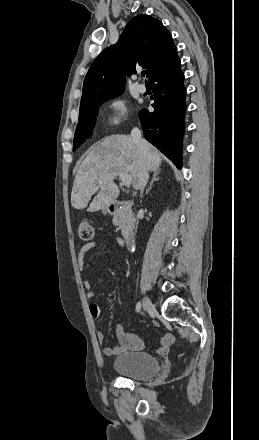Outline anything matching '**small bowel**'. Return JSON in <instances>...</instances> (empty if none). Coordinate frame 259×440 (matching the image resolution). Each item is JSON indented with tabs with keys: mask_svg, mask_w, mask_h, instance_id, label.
Returning <instances> with one entry per match:
<instances>
[{
	"mask_svg": "<svg viewBox=\"0 0 259 440\" xmlns=\"http://www.w3.org/2000/svg\"><path fill=\"white\" fill-rule=\"evenodd\" d=\"M101 242L102 241L89 242V243L84 244L80 248V250L78 252V256H77V263H78V268L81 273H83V271H84V263H85L86 254L92 248L99 245ZM114 242L119 246L124 245V241L120 237H115ZM83 286L86 291V297L88 299L92 298L94 296V292L92 291L91 284L85 278L83 279ZM89 312L92 317L97 318L100 315L101 309L98 304L90 303ZM96 335H97V339L100 343L105 342L106 335L102 331H98ZM117 335H118L119 345L112 347V348H110V347L105 348L104 354L106 356L115 355V354H118L122 351L129 350V349H143L144 348V343H143L142 339L136 334L125 333L120 328H118ZM173 341H174V337L172 334L164 335L160 340V346L157 349V352L160 354L166 353L168 351L169 347L171 346V344L173 343Z\"/></svg>",
	"mask_w": 259,
	"mask_h": 440,
	"instance_id": "obj_1",
	"label": "small bowel"
}]
</instances>
